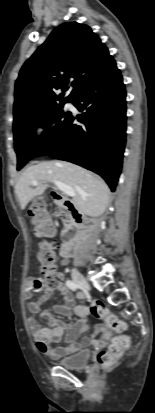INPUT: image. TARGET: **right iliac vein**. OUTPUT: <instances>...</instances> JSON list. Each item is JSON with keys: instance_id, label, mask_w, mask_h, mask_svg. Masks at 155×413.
Wrapping results in <instances>:
<instances>
[{"instance_id": "1", "label": "right iliac vein", "mask_w": 155, "mask_h": 413, "mask_svg": "<svg viewBox=\"0 0 155 413\" xmlns=\"http://www.w3.org/2000/svg\"><path fill=\"white\" fill-rule=\"evenodd\" d=\"M73 280L80 285L82 288L89 290L90 289V285L87 282V280L85 279V277L80 274L79 272H75L73 273Z\"/></svg>"}]
</instances>
